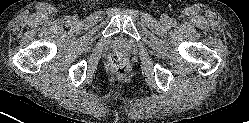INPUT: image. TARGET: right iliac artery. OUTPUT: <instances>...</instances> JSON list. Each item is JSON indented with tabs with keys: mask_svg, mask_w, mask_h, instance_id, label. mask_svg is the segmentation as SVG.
I'll use <instances>...</instances> for the list:
<instances>
[{
	"mask_svg": "<svg viewBox=\"0 0 249 123\" xmlns=\"http://www.w3.org/2000/svg\"><path fill=\"white\" fill-rule=\"evenodd\" d=\"M66 22L70 21V17L65 18Z\"/></svg>",
	"mask_w": 249,
	"mask_h": 123,
	"instance_id": "82829eb1",
	"label": "right iliac artery"
}]
</instances>
